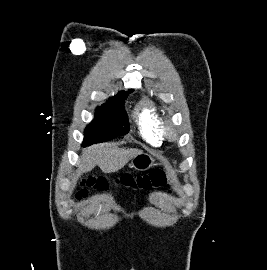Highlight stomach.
Instances as JSON below:
<instances>
[{
    "mask_svg": "<svg viewBox=\"0 0 267 270\" xmlns=\"http://www.w3.org/2000/svg\"><path fill=\"white\" fill-rule=\"evenodd\" d=\"M155 165V159L146 153H140L135 156L130 163V167L138 170L145 171Z\"/></svg>",
    "mask_w": 267,
    "mask_h": 270,
    "instance_id": "stomach-1",
    "label": "stomach"
}]
</instances>
